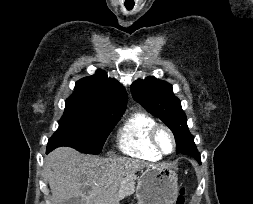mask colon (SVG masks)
<instances>
[{
	"label": "colon",
	"mask_w": 253,
	"mask_h": 204,
	"mask_svg": "<svg viewBox=\"0 0 253 204\" xmlns=\"http://www.w3.org/2000/svg\"><path fill=\"white\" fill-rule=\"evenodd\" d=\"M185 195H186V190L185 188H182L180 190L179 195L177 196L175 200V204H185Z\"/></svg>",
	"instance_id": "5ec220e1"
}]
</instances>
